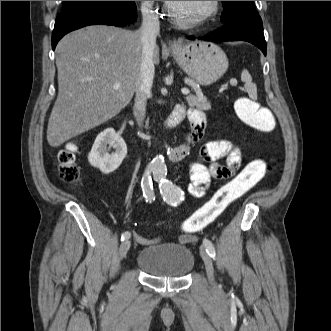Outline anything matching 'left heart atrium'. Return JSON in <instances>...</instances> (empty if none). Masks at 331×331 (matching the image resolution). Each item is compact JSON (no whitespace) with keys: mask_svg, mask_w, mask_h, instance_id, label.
<instances>
[{"mask_svg":"<svg viewBox=\"0 0 331 331\" xmlns=\"http://www.w3.org/2000/svg\"><path fill=\"white\" fill-rule=\"evenodd\" d=\"M168 4L175 3V1H166Z\"/></svg>","mask_w":331,"mask_h":331,"instance_id":"left-heart-atrium-1","label":"left heart atrium"}]
</instances>
